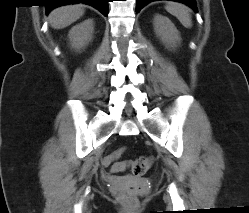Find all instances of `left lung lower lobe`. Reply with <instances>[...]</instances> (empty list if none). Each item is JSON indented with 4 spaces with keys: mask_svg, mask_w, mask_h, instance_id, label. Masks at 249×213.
<instances>
[{
    "mask_svg": "<svg viewBox=\"0 0 249 213\" xmlns=\"http://www.w3.org/2000/svg\"><path fill=\"white\" fill-rule=\"evenodd\" d=\"M152 1H156V0H137L136 1L137 3L136 12L138 13L141 10V8H143L146 4ZM173 1L185 3L189 5L190 7H192L195 11H197L195 0H173Z\"/></svg>",
    "mask_w": 249,
    "mask_h": 213,
    "instance_id": "left-lung-lower-lobe-1",
    "label": "left lung lower lobe"
}]
</instances>
